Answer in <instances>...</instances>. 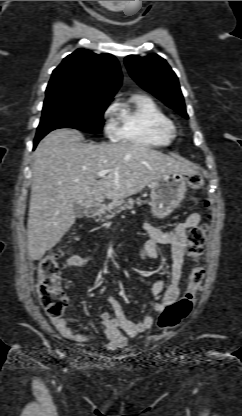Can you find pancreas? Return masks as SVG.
I'll use <instances>...</instances> for the list:
<instances>
[{
    "label": "pancreas",
    "instance_id": "pancreas-1",
    "mask_svg": "<svg viewBox=\"0 0 242 416\" xmlns=\"http://www.w3.org/2000/svg\"><path fill=\"white\" fill-rule=\"evenodd\" d=\"M135 203L140 205L142 201L140 198H137L136 200L132 198L128 200H115L100 209L99 219H111L123 210L132 209Z\"/></svg>",
    "mask_w": 242,
    "mask_h": 416
}]
</instances>
